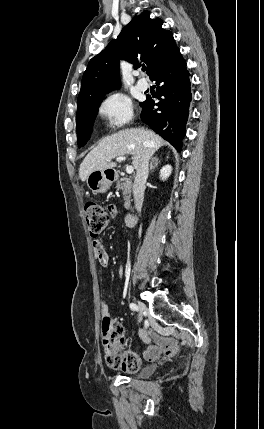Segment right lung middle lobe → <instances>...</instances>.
I'll use <instances>...</instances> for the list:
<instances>
[{"instance_id":"right-lung-middle-lobe-1","label":"right lung middle lobe","mask_w":264,"mask_h":429,"mask_svg":"<svg viewBox=\"0 0 264 429\" xmlns=\"http://www.w3.org/2000/svg\"><path fill=\"white\" fill-rule=\"evenodd\" d=\"M103 97L77 107V143L79 147L84 146L91 136L93 123ZM143 104L144 102L140 105L143 106Z\"/></svg>"}]
</instances>
